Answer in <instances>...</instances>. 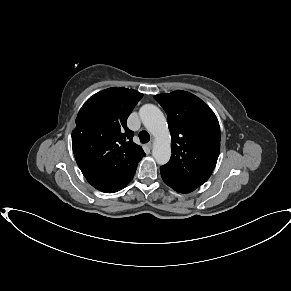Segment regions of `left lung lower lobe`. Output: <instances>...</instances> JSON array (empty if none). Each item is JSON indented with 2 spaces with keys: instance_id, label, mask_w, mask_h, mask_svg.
Segmentation results:
<instances>
[{
  "instance_id": "0a47b994",
  "label": "left lung lower lobe",
  "mask_w": 291,
  "mask_h": 291,
  "mask_svg": "<svg viewBox=\"0 0 291 291\" xmlns=\"http://www.w3.org/2000/svg\"><path fill=\"white\" fill-rule=\"evenodd\" d=\"M161 171V176L163 181L170 186L171 188H173L175 191L179 192V193H189L194 191L197 187V185L192 184L190 182H187L183 179H180L176 176H174L173 174H171L170 172L160 168Z\"/></svg>"
}]
</instances>
